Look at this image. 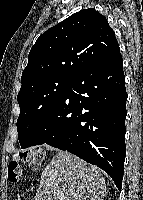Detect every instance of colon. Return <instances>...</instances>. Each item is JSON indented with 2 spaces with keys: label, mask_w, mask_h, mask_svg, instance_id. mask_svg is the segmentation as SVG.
Returning a JSON list of instances; mask_svg holds the SVG:
<instances>
[{
  "label": "colon",
  "mask_w": 143,
  "mask_h": 200,
  "mask_svg": "<svg viewBox=\"0 0 143 200\" xmlns=\"http://www.w3.org/2000/svg\"><path fill=\"white\" fill-rule=\"evenodd\" d=\"M44 160V151L38 147L25 149L17 153L8 163L7 178L11 183H17L23 173L22 163L30 169L37 170L41 167Z\"/></svg>",
  "instance_id": "1"
}]
</instances>
